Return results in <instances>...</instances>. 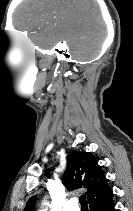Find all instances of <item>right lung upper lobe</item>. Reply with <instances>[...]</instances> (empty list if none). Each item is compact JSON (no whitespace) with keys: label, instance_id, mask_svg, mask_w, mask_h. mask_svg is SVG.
<instances>
[{"label":"right lung upper lobe","instance_id":"1","mask_svg":"<svg viewBox=\"0 0 133 211\" xmlns=\"http://www.w3.org/2000/svg\"><path fill=\"white\" fill-rule=\"evenodd\" d=\"M62 183L68 190L86 188L90 207L110 200L113 195L101 166L89 152L75 151L69 155ZM35 201L36 196L31 197L24 211H34Z\"/></svg>","mask_w":133,"mask_h":211}]
</instances>
